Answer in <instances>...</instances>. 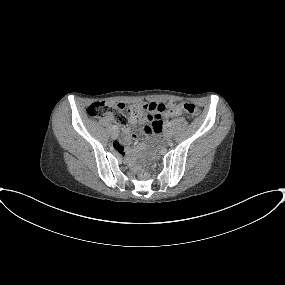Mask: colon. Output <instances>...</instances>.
Here are the masks:
<instances>
[{"label":"colon","mask_w":285,"mask_h":285,"mask_svg":"<svg viewBox=\"0 0 285 285\" xmlns=\"http://www.w3.org/2000/svg\"><path fill=\"white\" fill-rule=\"evenodd\" d=\"M148 112V108L143 103L125 106L122 103L94 102L87 108V114L92 118L111 119L120 126L127 125L129 119L133 116H144ZM186 113L189 116L197 114V109L190 102L171 103L166 105L165 113L162 118L176 116L180 113ZM137 175L141 178L147 176V170L138 167L135 169Z\"/></svg>","instance_id":"colon-1"}]
</instances>
